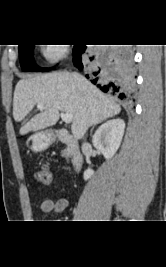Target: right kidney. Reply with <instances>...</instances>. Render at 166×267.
<instances>
[{
  "label": "right kidney",
  "mask_w": 166,
  "mask_h": 267,
  "mask_svg": "<svg viewBox=\"0 0 166 267\" xmlns=\"http://www.w3.org/2000/svg\"><path fill=\"white\" fill-rule=\"evenodd\" d=\"M125 130V122L122 119H112L102 124L93 136L92 143L106 159H110L118 150ZM94 174L92 169L84 172V180H88Z\"/></svg>",
  "instance_id": "1"
}]
</instances>
